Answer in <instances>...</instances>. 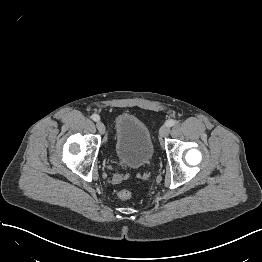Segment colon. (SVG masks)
Returning a JSON list of instances; mask_svg holds the SVG:
<instances>
[{
  "label": "colon",
  "mask_w": 262,
  "mask_h": 262,
  "mask_svg": "<svg viewBox=\"0 0 262 262\" xmlns=\"http://www.w3.org/2000/svg\"><path fill=\"white\" fill-rule=\"evenodd\" d=\"M117 197L120 200L127 201V200H130L132 198V193L128 189L122 188V189L118 190Z\"/></svg>",
  "instance_id": "1"
}]
</instances>
